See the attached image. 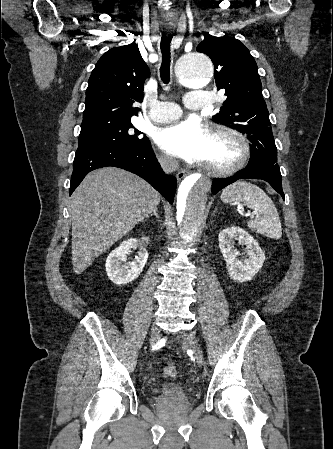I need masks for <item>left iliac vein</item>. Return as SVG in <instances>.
<instances>
[{"mask_svg": "<svg viewBox=\"0 0 333 449\" xmlns=\"http://www.w3.org/2000/svg\"><path fill=\"white\" fill-rule=\"evenodd\" d=\"M183 339L192 348V350L194 352L195 360H196L198 366H202L204 358H203L202 350L196 340L195 335L193 333H186V334H184Z\"/></svg>", "mask_w": 333, "mask_h": 449, "instance_id": "4c4485c4", "label": "left iliac vein"}]
</instances>
